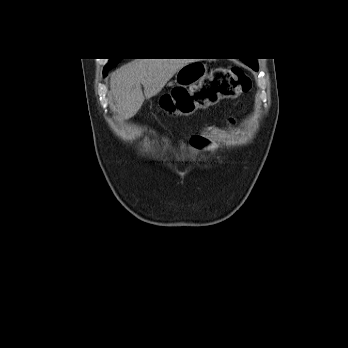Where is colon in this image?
Wrapping results in <instances>:
<instances>
[{"instance_id": "colon-1", "label": "colon", "mask_w": 348, "mask_h": 348, "mask_svg": "<svg viewBox=\"0 0 348 348\" xmlns=\"http://www.w3.org/2000/svg\"><path fill=\"white\" fill-rule=\"evenodd\" d=\"M252 87L248 73L238 67L216 68L193 88H176L164 95L160 107L170 115L185 114L197 107L195 96L204 93L207 100H223L247 93Z\"/></svg>"}]
</instances>
